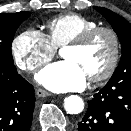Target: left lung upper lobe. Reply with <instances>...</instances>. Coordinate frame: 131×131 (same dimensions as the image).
<instances>
[{
    "instance_id": "obj_1",
    "label": "left lung upper lobe",
    "mask_w": 131,
    "mask_h": 131,
    "mask_svg": "<svg viewBox=\"0 0 131 131\" xmlns=\"http://www.w3.org/2000/svg\"><path fill=\"white\" fill-rule=\"evenodd\" d=\"M95 9L107 19L121 43V60L108 83L131 82V24L109 9L102 7Z\"/></svg>"
}]
</instances>
